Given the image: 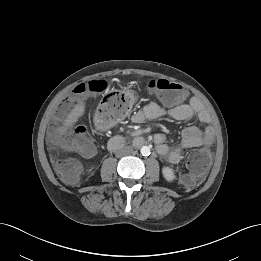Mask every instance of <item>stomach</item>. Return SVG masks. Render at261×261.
Here are the masks:
<instances>
[{
    "label": "stomach",
    "instance_id": "0dacf381",
    "mask_svg": "<svg viewBox=\"0 0 261 261\" xmlns=\"http://www.w3.org/2000/svg\"><path fill=\"white\" fill-rule=\"evenodd\" d=\"M125 100L128 102V105L131 106L135 101V96L133 92H126L124 94ZM95 126L98 130H106L112 127L113 123L105 120L99 113L95 116L94 119Z\"/></svg>",
    "mask_w": 261,
    "mask_h": 261
}]
</instances>
